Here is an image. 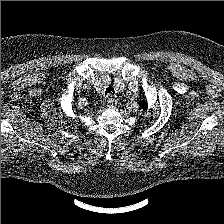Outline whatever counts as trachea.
Here are the masks:
<instances>
[{
    "label": "trachea",
    "instance_id": "3493384b",
    "mask_svg": "<svg viewBox=\"0 0 224 224\" xmlns=\"http://www.w3.org/2000/svg\"><path fill=\"white\" fill-rule=\"evenodd\" d=\"M114 88L113 87H108L105 91V94L113 95L114 94Z\"/></svg>",
    "mask_w": 224,
    "mask_h": 224
}]
</instances>
